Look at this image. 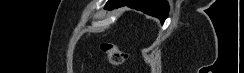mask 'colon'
I'll use <instances>...</instances> for the list:
<instances>
[{"label":"colon","mask_w":244,"mask_h":73,"mask_svg":"<svg viewBox=\"0 0 244 73\" xmlns=\"http://www.w3.org/2000/svg\"><path fill=\"white\" fill-rule=\"evenodd\" d=\"M101 50L109 64L119 66L124 63L125 55L119 45L112 42H103L101 44Z\"/></svg>","instance_id":"1"}]
</instances>
